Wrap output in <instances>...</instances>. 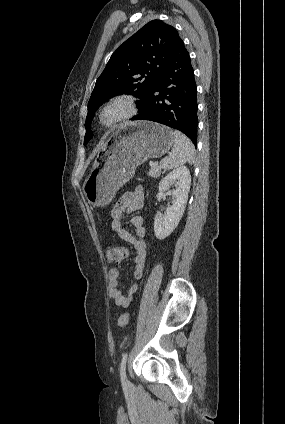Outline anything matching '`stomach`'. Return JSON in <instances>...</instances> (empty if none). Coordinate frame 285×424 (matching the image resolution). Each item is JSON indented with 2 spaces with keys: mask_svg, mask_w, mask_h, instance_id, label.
<instances>
[{
  "mask_svg": "<svg viewBox=\"0 0 285 424\" xmlns=\"http://www.w3.org/2000/svg\"><path fill=\"white\" fill-rule=\"evenodd\" d=\"M174 145L169 127L147 121L124 124L101 148L82 191L92 206H105L148 158L165 155Z\"/></svg>",
  "mask_w": 285,
  "mask_h": 424,
  "instance_id": "stomach-1",
  "label": "stomach"
}]
</instances>
